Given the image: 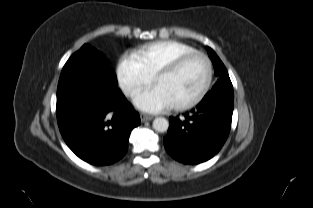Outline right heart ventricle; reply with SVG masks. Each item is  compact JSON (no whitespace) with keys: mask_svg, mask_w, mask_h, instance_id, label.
Here are the masks:
<instances>
[{"mask_svg":"<svg viewBox=\"0 0 313 208\" xmlns=\"http://www.w3.org/2000/svg\"><path fill=\"white\" fill-rule=\"evenodd\" d=\"M193 51H197L196 48L187 43L177 40H162L146 44L137 50L135 55L144 67L155 75L162 67L177 57Z\"/></svg>","mask_w":313,"mask_h":208,"instance_id":"1","label":"right heart ventricle"}]
</instances>
